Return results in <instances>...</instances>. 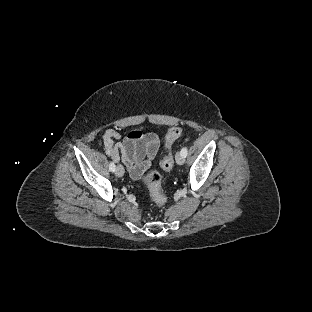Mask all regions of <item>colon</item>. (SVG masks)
I'll use <instances>...</instances> for the list:
<instances>
[{
  "mask_svg": "<svg viewBox=\"0 0 312 312\" xmlns=\"http://www.w3.org/2000/svg\"><path fill=\"white\" fill-rule=\"evenodd\" d=\"M182 134V130L178 127H173L168 130L165 136L164 148L166 150V154L160 160V167L164 171H170L174 167V159L171 153L172 147L177 139ZM147 181L149 182V191L150 196L159 205H162L166 202V197L162 192V188L160 186L162 181V174L160 171L151 170L147 176Z\"/></svg>",
  "mask_w": 312,
  "mask_h": 312,
  "instance_id": "1",
  "label": "colon"
}]
</instances>
